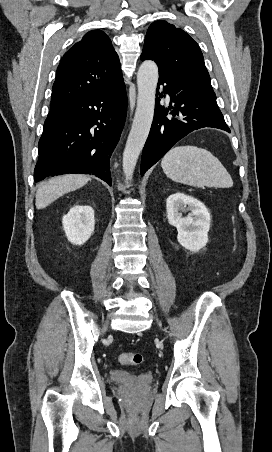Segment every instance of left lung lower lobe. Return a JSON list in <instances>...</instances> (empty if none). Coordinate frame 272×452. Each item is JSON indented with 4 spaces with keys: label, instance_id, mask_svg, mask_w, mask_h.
Wrapping results in <instances>:
<instances>
[{
    "label": "left lung lower lobe",
    "instance_id": "1",
    "mask_svg": "<svg viewBox=\"0 0 272 452\" xmlns=\"http://www.w3.org/2000/svg\"><path fill=\"white\" fill-rule=\"evenodd\" d=\"M161 84H165L164 93L169 94L170 105L173 102L174 106L164 108L159 105L160 99H156L153 123L142 153L141 176L176 142L194 130L213 127L230 133L213 90L172 74H160L158 86ZM167 114L174 118H167Z\"/></svg>",
    "mask_w": 272,
    "mask_h": 452
}]
</instances>
